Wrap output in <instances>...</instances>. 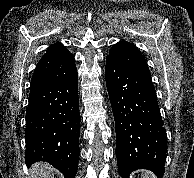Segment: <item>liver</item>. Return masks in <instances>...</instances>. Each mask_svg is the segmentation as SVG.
<instances>
[{
  "label": "liver",
  "instance_id": "1",
  "mask_svg": "<svg viewBox=\"0 0 194 178\" xmlns=\"http://www.w3.org/2000/svg\"><path fill=\"white\" fill-rule=\"evenodd\" d=\"M31 178H54V169L48 163H35L31 167Z\"/></svg>",
  "mask_w": 194,
  "mask_h": 178
}]
</instances>
